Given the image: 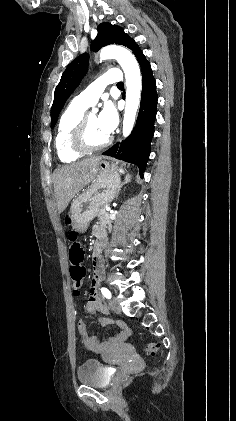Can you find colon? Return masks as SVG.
I'll list each match as a JSON object with an SVG mask.
<instances>
[{
  "label": "colon",
  "mask_w": 236,
  "mask_h": 421,
  "mask_svg": "<svg viewBox=\"0 0 236 421\" xmlns=\"http://www.w3.org/2000/svg\"><path fill=\"white\" fill-rule=\"evenodd\" d=\"M76 234L71 233L70 245L68 247V257L70 262V278L74 287L75 294L79 293V288L82 285L86 274L85 268L82 266L84 260V250L81 244L76 239ZM157 350V345L154 342H149L145 345L143 351L147 356L154 355Z\"/></svg>",
  "instance_id": "5ec220e1"
}]
</instances>
